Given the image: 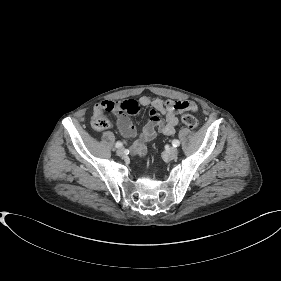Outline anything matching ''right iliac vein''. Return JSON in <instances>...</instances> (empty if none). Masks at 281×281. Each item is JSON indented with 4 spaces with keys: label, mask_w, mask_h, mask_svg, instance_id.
I'll list each match as a JSON object with an SVG mask.
<instances>
[{
    "label": "right iliac vein",
    "mask_w": 281,
    "mask_h": 281,
    "mask_svg": "<svg viewBox=\"0 0 281 281\" xmlns=\"http://www.w3.org/2000/svg\"><path fill=\"white\" fill-rule=\"evenodd\" d=\"M117 155L118 156H124L125 155V149L124 148H119L118 150H117Z\"/></svg>",
    "instance_id": "right-iliac-vein-1"
}]
</instances>
